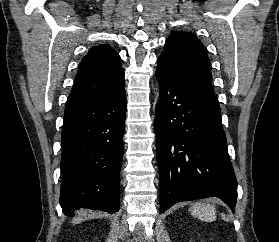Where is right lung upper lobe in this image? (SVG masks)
Wrapping results in <instances>:
<instances>
[{
    "instance_id": "1",
    "label": "right lung upper lobe",
    "mask_w": 279,
    "mask_h": 242,
    "mask_svg": "<svg viewBox=\"0 0 279 242\" xmlns=\"http://www.w3.org/2000/svg\"><path fill=\"white\" fill-rule=\"evenodd\" d=\"M120 56L108 45L93 47L82 59L67 104L101 98L124 86Z\"/></svg>"
}]
</instances>
